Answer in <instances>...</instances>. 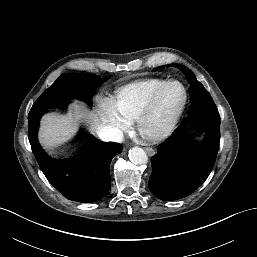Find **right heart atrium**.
<instances>
[{
  "label": "right heart atrium",
  "instance_id": "obj_1",
  "mask_svg": "<svg viewBox=\"0 0 257 257\" xmlns=\"http://www.w3.org/2000/svg\"><path fill=\"white\" fill-rule=\"evenodd\" d=\"M103 125L112 137H117L129 128L130 122L117 109L115 103L106 100L102 103Z\"/></svg>",
  "mask_w": 257,
  "mask_h": 257
}]
</instances>
